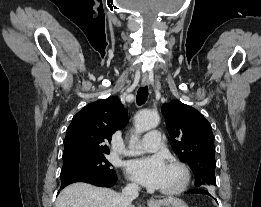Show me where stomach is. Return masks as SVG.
Instances as JSON below:
<instances>
[{
	"mask_svg": "<svg viewBox=\"0 0 261 207\" xmlns=\"http://www.w3.org/2000/svg\"><path fill=\"white\" fill-rule=\"evenodd\" d=\"M149 207H188V205L179 198L167 197L160 200H154Z\"/></svg>",
	"mask_w": 261,
	"mask_h": 207,
	"instance_id": "0dacf381",
	"label": "stomach"
}]
</instances>
